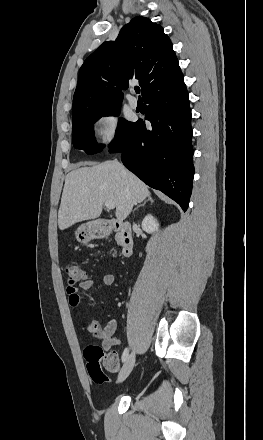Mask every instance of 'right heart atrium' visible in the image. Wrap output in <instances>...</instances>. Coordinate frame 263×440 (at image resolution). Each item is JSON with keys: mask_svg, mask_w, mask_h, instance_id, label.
Instances as JSON below:
<instances>
[{"mask_svg": "<svg viewBox=\"0 0 263 440\" xmlns=\"http://www.w3.org/2000/svg\"><path fill=\"white\" fill-rule=\"evenodd\" d=\"M119 129V118L111 111L100 114L94 122L95 137L101 145L114 143L119 136Z\"/></svg>", "mask_w": 263, "mask_h": 440, "instance_id": "obj_1", "label": "right heart atrium"}]
</instances>
